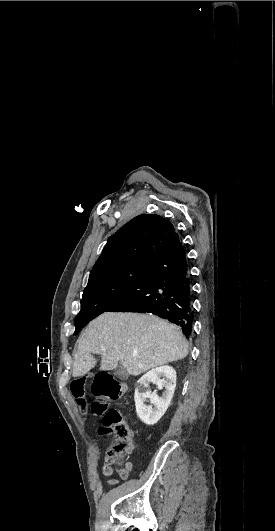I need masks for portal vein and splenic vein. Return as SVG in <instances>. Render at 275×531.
<instances>
[{
	"instance_id": "1",
	"label": "portal vein and splenic vein",
	"mask_w": 275,
	"mask_h": 531,
	"mask_svg": "<svg viewBox=\"0 0 275 531\" xmlns=\"http://www.w3.org/2000/svg\"><path fill=\"white\" fill-rule=\"evenodd\" d=\"M105 351V349H103ZM137 353H132V357H136Z\"/></svg>"
}]
</instances>
